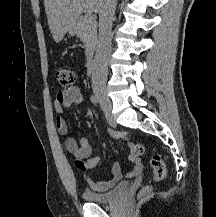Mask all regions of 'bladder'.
<instances>
[{
    "instance_id": "31cf9c89",
    "label": "bladder",
    "mask_w": 216,
    "mask_h": 217,
    "mask_svg": "<svg viewBox=\"0 0 216 217\" xmlns=\"http://www.w3.org/2000/svg\"><path fill=\"white\" fill-rule=\"evenodd\" d=\"M125 188V185L118 186L114 190L106 193H97L90 190H83L82 196L87 202L90 203L109 204L118 199L121 196L122 192L125 190Z\"/></svg>"
}]
</instances>
